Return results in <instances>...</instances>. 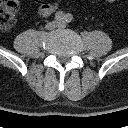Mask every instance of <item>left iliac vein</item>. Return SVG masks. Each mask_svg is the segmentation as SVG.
I'll list each match as a JSON object with an SVG mask.
<instances>
[{"label":"left iliac vein","instance_id":"left-iliac-vein-1","mask_svg":"<svg viewBox=\"0 0 128 128\" xmlns=\"http://www.w3.org/2000/svg\"><path fill=\"white\" fill-rule=\"evenodd\" d=\"M66 26V23L64 21H58V27L64 28Z\"/></svg>","mask_w":128,"mask_h":128}]
</instances>
